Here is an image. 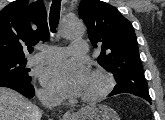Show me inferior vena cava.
I'll return each mask as SVG.
<instances>
[{"mask_svg":"<svg viewBox=\"0 0 165 120\" xmlns=\"http://www.w3.org/2000/svg\"><path fill=\"white\" fill-rule=\"evenodd\" d=\"M38 99L46 108L52 109L56 107L60 102V98L49 93L39 92L37 93Z\"/></svg>","mask_w":165,"mask_h":120,"instance_id":"602c4592","label":"inferior vena cava"}]
</instances>
